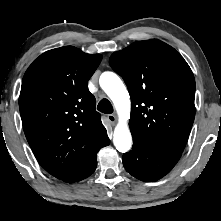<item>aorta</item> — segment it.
<instances>
[{"mask_svg":"<svg viewBox=\"0 0 221 221\" xmlns=\"http://www.w3.org/2000/svg\"><path fill=\"white\" fill-rule=\"evenodd\" d=\"M100 86L113 101L119 115L113 142L119 152L125 153L132 146V137L127 124L131 109L129 93L121 79L113 72H104L100 76Z\"/></svg>","mask_w":221,"mask_h":221,"instance_id":"762f6f07","label":"aorta"}]
</instances>
